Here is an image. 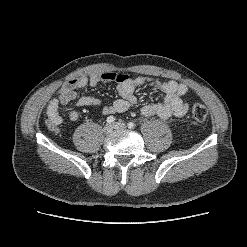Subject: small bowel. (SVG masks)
<instances>
[{
	"label": "small bowel",
	"mask_w": 247,
	"mask_h": 247,
	"mask_svg": "<svg viewBox=\"0 0 247 247\" xmlns=\"http://www.w3.org/2000/svg\"><path fill=\"white\" fill-rule=\"evenodd\" d=\"M110 82L117 83L119 98L103 107L102 112L104 115L127 111L136 102V89L146 84L158 87L164 93V100L160 103L144 105L141 109L144 116H158L162 119H167L172 116H184L188 110V104L183 100V96L188 92L186 84L178 83L174 80L161 81L144 76L130 77L125 73L104 72L90 77L74 78L58 90L56 95L49 101L46 110L49 128L53 131H58L62 123L59 108L77 99V91L79 89ZM76 104L79 107L99 106L100 101L92 96H84L78 98ZM68 117L70 121L76 122L79 119V113L71 111Z\"/></svg>",
	"instance_id": "small-bowel-1"
}]
</instances>
